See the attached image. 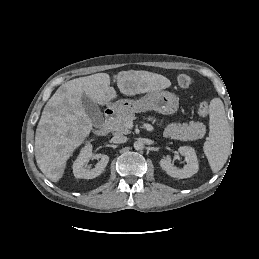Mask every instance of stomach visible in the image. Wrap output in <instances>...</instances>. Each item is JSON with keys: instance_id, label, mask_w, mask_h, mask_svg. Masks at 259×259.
I'll list each match as a JSON object with an SVG mask.
<instances>
[{"instance_id": "obj_1", "label": "stomach", "mask_w": 259, "mask_h": 259, "mask_svg": "<svg viewBox=\"0 0 259 259\" xmlns=\"http://www.w3.org/2000/svg\"><path fill=\"white\" fill-rule=\"evenodd\" d=\"M179 100L169 91L157 90L148 93L144 97L133 99H121L112 105L117 115L140 113L154 110L163 115H172L177 112Z\"/></svg>"}]
</instances>
